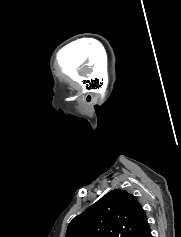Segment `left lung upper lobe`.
Masks as SVG:
<instances>
[{
  "label": "left lung upper lobe",
  "instance_id": "1",
  "mask_svg": "<svg viewBox=\"0 0 181 237\" xmlns=\"http://www.w3.org/2000/svg\"><path fill=\"white\" fill-rule=\"evenodd\" d=\"M149 227L134 195L114 189L76 216L65 237H139Z\"/></svg>",
  "mask_w": 181,
  "mask_h": 237
}]
</instances>
